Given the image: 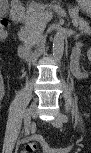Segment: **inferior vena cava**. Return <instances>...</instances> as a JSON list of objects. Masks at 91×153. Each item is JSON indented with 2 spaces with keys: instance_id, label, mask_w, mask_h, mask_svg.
<instances>
[{
  "instance_id": "inferior-vena-cava-1",
  "label": "inferior vena cava",
  "mask_w": 91,
  "mask_h": 153,
  "mask_svg": "<svg viewBox=\"0 0 91 153\" xmlns=\"http://www.w3.org/2000/svg\"><path fill=\"white\" fill-rule=\"evenodd\" d=\"M37 37H38V43L35 45L36 46L35 50H32V53H45L46 47H44L45 46L44 37L41 35H38ZM40 57H44V54H32V60H40L41 59Z\"/></svg>"
}]
</instances>
